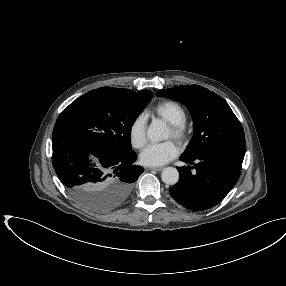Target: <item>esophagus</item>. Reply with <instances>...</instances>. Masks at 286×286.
I'll use <instances>...</instances> for the list:
<instances>
[{
	"mask_svg": "<svg viewBox=\"0 0 286 286\" xmlns=\"http://www.w3.org/2000/svg\"><path fill=\"white\" fill-rule=\"evenodd\" d=\"M149 170L162 171L164 167H149Z\"/></svg>",
	"mask_w": 286,
	"mask_h": 286,
	"instance_id": "34e87169",
	"label": "esophagus"
}]
</instances>
